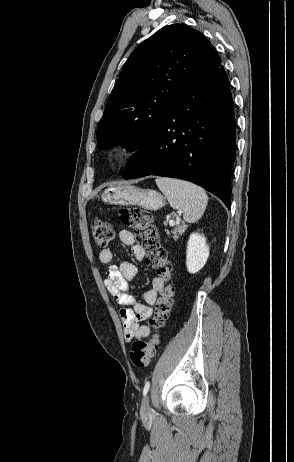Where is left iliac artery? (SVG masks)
<instances>
[{
  "label": "left iliac artery",
  "mask_w": 294,
  "mask_h": 462,
  "mask_svg": "<svg viewBox=\"0 0 294 462\" xmlns=\"http://www.w3.org/2000/svg\"><path fill=\"white\" fill-rule=\"evenodd\" d=\"M149 388H150V382L147 381V382L145 383V386H144V389H143V395H144V396L148 393Z\"/></svg>",
  "instance_id": "1"
}]
</instances>
